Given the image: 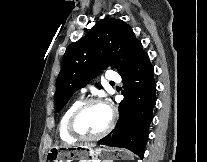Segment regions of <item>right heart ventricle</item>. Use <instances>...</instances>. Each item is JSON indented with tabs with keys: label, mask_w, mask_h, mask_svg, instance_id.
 Returning a JSON list of instances; mask_svg holds the SVG:
<instances>
[{
	"label": "right heart ventricle",
	"mask_w": 207,
	"mask_h": 162,
	"mask_svg": "<svg viewBox=\"0 0 207 162\" xmlns=\"http://www.w3.org/2000/svg\"><path fill=\"white\" fill-rule=\"evenodd\" d=\"M82 102H83V99L82 98L76 99L74 102H72L67 107V109L64 111V113L61 116V119H60L59 125H58V131H59L60 138L63 141H65V142H73V141H76V138H74L71 135H69V133L67 131V122H68V119H69L71 113Z\"/></svg>",
	"instance_id": "obj_1"
}]
</instances>
